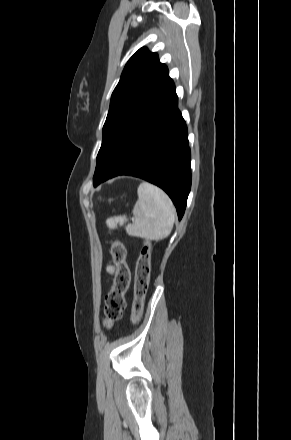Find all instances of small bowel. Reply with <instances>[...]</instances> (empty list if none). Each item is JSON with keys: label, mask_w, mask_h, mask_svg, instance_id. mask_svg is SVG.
I'll return each mask as SVG.
<instances>
[{"label": "small bowel", "mask_w": 291, "mask_h": 440, "mask_svg": "<svg viewBox=\"0 0 291 440\" xmlns=\"http://www.w3.org/2000/svg\"><path fill=\"white\" fill-rule=\"evenodd\" d=\"M106 271H107V273L112 274V273H114L115 268L113 266H111V265H108L106 267Z\"/></svg>", "instance_id": "1"}]
</instances>
